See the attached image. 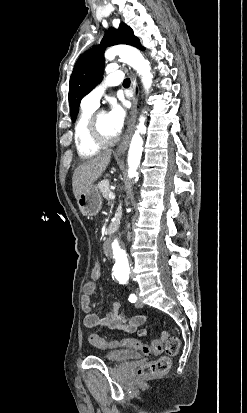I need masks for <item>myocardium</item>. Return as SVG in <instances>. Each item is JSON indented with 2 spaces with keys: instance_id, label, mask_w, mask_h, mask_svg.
Segmentation results:
<instances>
[{
  "instance_id": "myocardium-1",
  "label": "myocardium",
  "mask_w": 247,
  "mask_h": 413,
  "mask_svg": "<svg viewBox=\"0 0 247 413\" xmlns=\"http://www.w3.org/2000/svg\"><path fill=\"white\" fill-rule=\"evenodd\" d=\"M98 120V115L94 116L91 119V124H90V137L93 140V142L95 144H97L100 147H111L115 144L116 142V138H106L102 135L101 131H100V127L99 126H95L96 122Z\"/></svg>"
}]
</instances>
